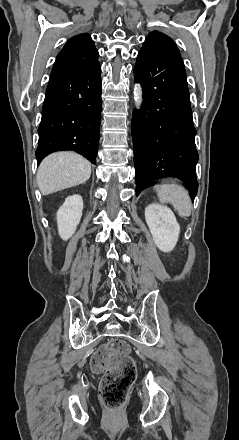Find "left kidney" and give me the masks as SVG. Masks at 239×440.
<instances>
[{"mask_svg": "<svg viewBox=\"0 0 239 440\" xmlns=\"http://www.w3.org/2000/svg\"><path fill=\"white\" fill-rule=\"evenodd\" d=\"M145 220L157 248L161 252H171L180 234V226L172 210L162 204H150L145 208Z\"/></svg>", "mask_w": 239, "mask_h": 440, "instance_id": "1", "label": "left kidney"}]
</instances>
